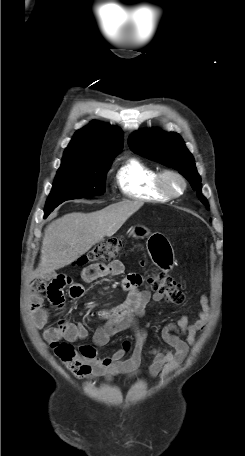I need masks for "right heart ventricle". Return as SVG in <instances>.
<instances>
[{"label":"right heart ventricle","instance_id":"right-heart-ventricle-1","mask_svg":"<svg viewBox=\"0 0 245 456\" xmlns=\"http://www.w3.org/2000/svg\"><path fill=\"white\" fill-rule=\"evenodd\" d=\"M159 171L137 158L126 159L117 169L115 179L120 191L131 199L165 202L170 198L156 187Z\"/></svg>","mask_w":245,"mask_h":456}]
</instances>
